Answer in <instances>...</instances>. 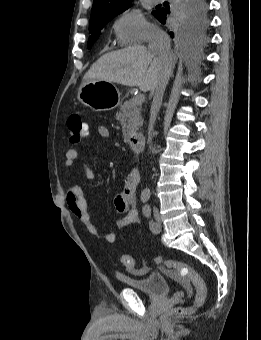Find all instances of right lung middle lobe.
<instances>
[{
  "label": "right lung middle lobe",
  "mask_w": 261,
  "mask_h": 340,
  "mask_svg": "<svg viewBox=\"0 0 261 340\" xmlns=\"http://www.w3.org/2000/svg\"><path fill=\"white\" fill-rule=\"evenodd\" d=\"M129 8V7H127ZM125 8L124 10H126ZM123 10V11H124ZM122 11V12H123ZM157 10L152 14L155 16ZM115 16L106 17L90 23L88 49L101 34V29ZM178 33L187 40H198L205 36L208 27L207 9L203 0H188L178 8Z\"/></svg>",
  "instance_id": "right-lung-middle-lobe-1"
}]
</instances>
